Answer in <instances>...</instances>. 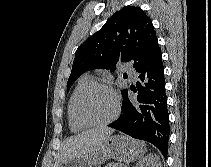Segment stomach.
Wrapping results in <instances>:
<instances>
[{"label":"stomach","instance_id":"obj_1","mask_svg":"<svg viewBox=\"0 0 211 167\" xmlns=\"http://www.w3.org/2000/svg\"><path fill=\"white\" fill-rule=\"evenodd\" d=\"M145 150L143 142L124 135H115L109 137L100 148L77 156L60 167H98L108 159L131 162L141 158Z\"/></svg>","mask_w":211,"mask_h":167}]
</instances>
